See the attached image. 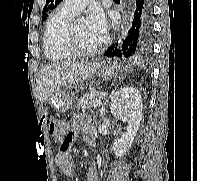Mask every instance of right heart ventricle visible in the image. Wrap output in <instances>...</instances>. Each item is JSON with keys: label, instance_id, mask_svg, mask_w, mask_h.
<instances>
[{"label": "right heart ventricle", "instance_id": "e07e8e85", "mask_svg": "<svg viewBox=\"0 0 197 181\" xmlns=\"http://www.w3.org/2000/svg\"><path fill=\"white\" fill-rule=\"evenodd\" d=\"M75 12L61 6L46 22L43 35V49L49 60L60 61L74 58L65 44L66 31Z\"/></svg>", "mask_w": 197, "mask_h": 181}]
</instances>
